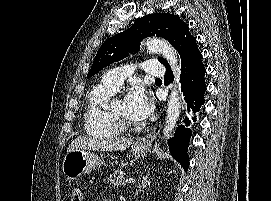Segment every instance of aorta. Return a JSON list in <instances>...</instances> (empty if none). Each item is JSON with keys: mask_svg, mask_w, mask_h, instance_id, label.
<instances>
[{"mask_svg": "<svg viewBox=\"0 0 271 201\" xmlns=\"http://www.w3.org/2000/svg\"><path fill=\"white\" fill-rule=\"evenodd\" d=\"M145 45L149 52L152 53L158 52L168 61L175 77V83L172 85L171 92L169 95L165 125L163 128V136L165 138L169 136V134L174 130L180 115L181 108L179 97L180 68L178 65L177 53L176 50L164 39L156 37L148 38L147 40H145Z\"/></svg>", "mask_w": 271, "mask_h": 201, "instance_id": "obj_1", "label": "aorta"}]
</instances>
